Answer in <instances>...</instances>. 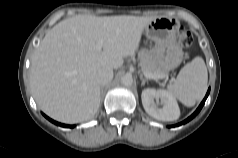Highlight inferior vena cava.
<instances>
[{"label":"inferior vena cava","mask_w":238,"mask_h":158,"mask_svg":"<svg viewBox=\"0 0 238 158\" xmlns=\"http://www.w3.org/2000/svg\"><path fill=\"white\" fill-rule=\"evenodd\" d=\"M113 79V70L109 67H102L97 72V81L101 86L111 82Z\"/></svg>","instance_id":"obj_1"}]
</instances>
